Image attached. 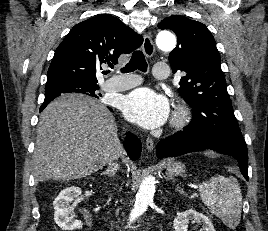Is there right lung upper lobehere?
Returning a JSON list of instances; mask_svg holds the SVG:
<instances>
[{
    "mask_svg": "<svg viewBox=\"0 0 268 231\" xmlns=\"http://www.w3.org/2000/svg\"><path fill=\"white\" fill-rule=\"evenodd\" d=\"M143 38L110 15H99L75 25L55 51L47 72V83L73 81L97 84L101 64L118 63L123 53L140 47ZM101 68V67H100ZM52 100L45 99L41 108Z\"/></svg>",
    "mask_w": 268,
    "mask_h": 231,
    "instance_id": "right-lung-upper-lobe-1",
    "label": "right lung upper lobe"
}]
</instances>
